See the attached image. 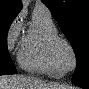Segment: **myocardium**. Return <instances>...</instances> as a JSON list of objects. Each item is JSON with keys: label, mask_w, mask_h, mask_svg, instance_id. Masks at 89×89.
<instances>
[{"label": "myocardium", "mask_w": 89, "mask_h": 89, "mask_svg": "<svg viewBox=\"0 0 89 89\" xmlns=\"http://www.w3.org/2000/svg\"><path fill=\"white\" fill-rule=\"evenodd\" d=\"M63 49H66L70 52L72 56V64L68 65L65 63L62 56ZM53 51H54L55 58L63 71L65 72L72 71L76 68L78 62L76 51L73 45L70 43V41L67 40L65 37L58 35L57 37L54 38Z\"/></svg>", "instance_id": "obj_1"}]
</instances>
